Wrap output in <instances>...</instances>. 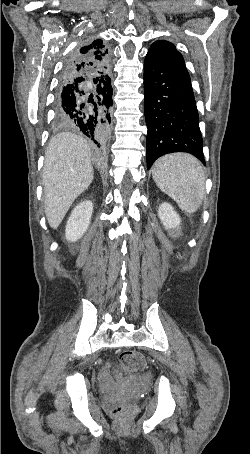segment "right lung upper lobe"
<instances>
[{
  "label": "right lung upper lobe",
  "instance_id": "obj_1",
  "mask_svg": "<svg viewBox=\"0 0 250 454\" xmlns=\"http://www.w3.org/2000/svg\"><path fill=\"white\" fill-rule=\"evenodd\" d=\"M106 48L100 39L90 41L80 50L79 56L65 66L62 77L71 78L85 72L100 74L102 71H108L110 62L109 53L104 52Z\"/></svg>",
  "mask_w": 250,
  "mask_h": 454
}]
</instances>
